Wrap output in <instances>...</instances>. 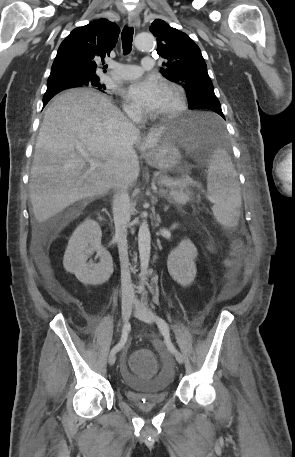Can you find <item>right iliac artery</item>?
Returning <instances> with one entry per match:
<instances>
[{"label":"right iliac artery","instance_id":"obj_1","mask_svg":"<svg viewBox=\"0 0 295 457\" xmlns=\"http://www.w3.org/2000/svg\"><path fill=\"white\" fill-rule=\"evenodd\" d=\"M129 330H130V324L126 323L124 325V327H123V330H122L121 340L119 341V343L115 347H113L111 352H117L124 346V344H125V342L127 340V337H128Z\"/></svg>","mask_w":295,"mask_h":457}]
</instances>
